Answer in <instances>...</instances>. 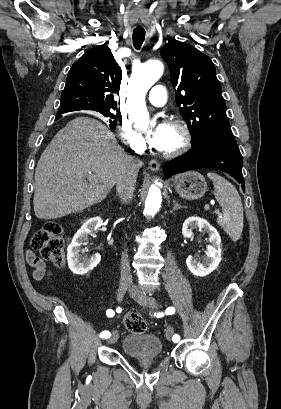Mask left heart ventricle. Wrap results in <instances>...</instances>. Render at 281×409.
I'll list each match as a JSON object with an SVG mask.
<instances>
[{
  "instance_id": "left-heart-ventricle-1",
  "label": "left heart ventricle",
  "mask_w": 281,
  "mask_h": 409,
  "mask_svg": "<svg viewBox=\"0 0 281 409\" xmlns=\"http://www.w3.org/2000/svg\"><path fill=\"white\" fill-rule=\"evenodd\" d=\"M181 140V133L178 130L167 126L165 139L162 147L159 150L170 151L176 148L181 143Z\"/></svg>"
}]
</instances>
